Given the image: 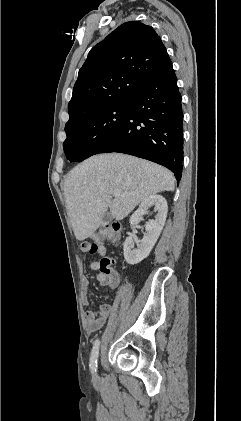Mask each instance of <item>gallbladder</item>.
Instances as JSON below:
<instances>
[{"label":"gallbladder","mask_w":241,"mask_h":421,"mask_svg":"<svg viewBox=\"0 0 241 421\" xmlns=\"http://www.w3.org/2000/svg\"><path fill=\"white\" fill-rule=\"evenodd\" d=\"M112 219L113 216L110 212L105 213L101 219V225L109 223Z\"/></svg>","instance_id":"1"}]
</instances>
